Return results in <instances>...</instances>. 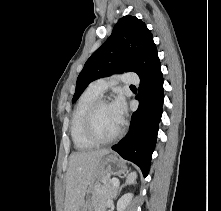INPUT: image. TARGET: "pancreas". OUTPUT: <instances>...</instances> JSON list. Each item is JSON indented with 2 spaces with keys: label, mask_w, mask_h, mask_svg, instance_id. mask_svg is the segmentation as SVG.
<instances>
[{
  "label": "pancreas",
  "mask_w": 221,
  "mask_h": 211,
  "mask_svg": "<svg viewBox=\"0 0 221 211\" xmlns=\"http://www.w3.org/2000/svg\"><path fill=\"white\" fill-rule=\"evenodd\" d=\"M102 185H96L92 191V211H105L109 201L117 194V188L111 183V179H102Z\"/></svg>",
  "instance_id": "pancreas-1"
}]
</instances>
